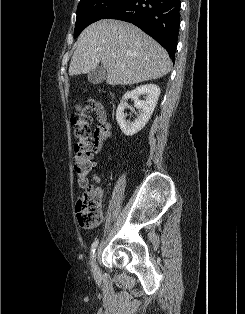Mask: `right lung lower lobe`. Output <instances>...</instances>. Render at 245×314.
<instances>
[{"label": "right lung lower lobe", "mask_w": 245, "mask_h": 314, "mask_svg": "<svg viewBox=\"0 0 245 314\" xmlns=\"http://www.w3.org/2000/svg\"><path fill=\"white\" fill-rule=\"evenodd\" d=\"M180 0H128L103 17L130 22L160 43L174 61Z\"/></svg>", "instance_id": "98d812e1"}]
</instances>
